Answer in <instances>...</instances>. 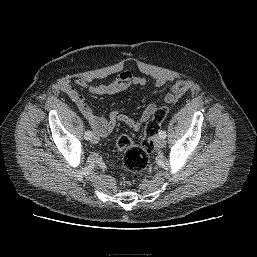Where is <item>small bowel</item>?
<instances>
[{"label": "small bowel", "mask_w": 257, "mask_h": 257, "mask_svg": "<svg viewBox=\"0 0 257 257\" xmlns=\"http://www.w3.org/2000/svg\"><path fill=\"white\" fill-rule=\"evenodd\" d=\"M168 80L166 76L157 77L154 81V85L156 87L164 86ZM145 84V78L135 76L129 71H123L106 84L94 85L89 83L86 79L76 78L64 82L61 86V90L75 103L82 116L92 128L94 134L98 138H104L110 134L119 123H123L135 131L139 130L141 125L154 114L157 106L154 103L147 105L138 119H134L118 110L112 111L107 117L96 115L85 102L84 95L79 93L74 86L87 89L94 95H107L119 93L132 86H144ZM191 87V81L185 78H178L173 83L171 91L165 95L164 101L169 104L178 101Z\"/></svg>", "instance_id": "obj_1"}]
</instances>
